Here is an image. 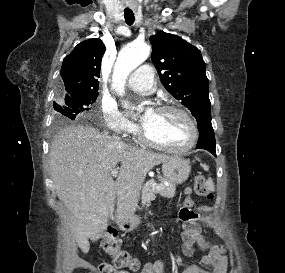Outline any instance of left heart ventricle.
Instances as JSON below:
<instances>
[{"instance_id":"obj_1","label":"left heart ventricle","mask_w":285,"mask_h":273,"mask_svg":"<svg viewBox=\"0 0 285 273\" xmlns=\"http://www.w3.org/2000/svg\"><path fill=\"white\" fill-rule=\"evenodd\" d=\"M142 126L150 138L165 145L181 146L190 136L187 121L174 111H155Z\"/></svg>"}]
</instances>
